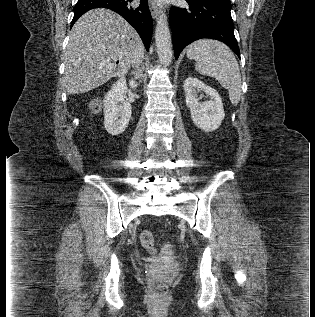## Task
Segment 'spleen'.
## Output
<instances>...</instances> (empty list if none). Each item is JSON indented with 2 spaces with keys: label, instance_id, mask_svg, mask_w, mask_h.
I'll use <instances>...</instances> for the list:
<instances>
[{
  "label": "spleen",
  "instance_id": "spleen-1",
  "mask_svg": "<svg viewBox=\"0 0 315 317\" xmlns=\"http://www.w3.org/2000/svg\"><path fill=\"white\" fill-rule=\"evenodd\" d=\"M187 57L195 61L198 73L214 77L229 92V99L237 105L241 97V74L232 51L222 42L200 39L187 48Z\"/></svg>",
  "mask_w": 315,
  "mask_h": 317
}]
</instances>
